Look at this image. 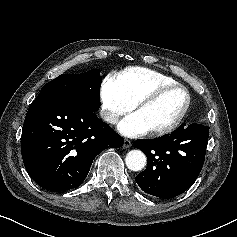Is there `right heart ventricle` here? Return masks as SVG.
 <instances>
[{"mask_svg":"<svg viewBox=\"0 0 237 237\" xmlns=\"http://www.w3.org/2000/svg\"><path fill=\"white\" fill-rule=\"evenodd\" d=\"M113 76L133 104L159 86L177 83L170 76L142 67L127 68Z\"/></svg>","mask_w":237,"mask_h":237,"instance_id":"e07e8e85","label":"right heart ventricle"}]
</instances>
